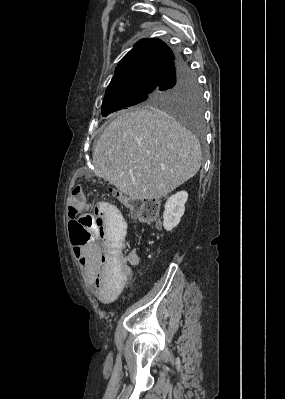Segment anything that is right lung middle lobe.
<instances>
[{"label":"right lung middle lobe","mask_w":285,"mask_h":399,"mask_svg":"<svg viewBox=\"0 0 285 399\" xmlns=\"http://www.w3.org/2000/svg\"><path fill=\"white\" fill-rule=\"evenodd\" d=\"M161 110L199 127L202 122V94L195 75L187 70L174 83L157 89H139L116 93L104 97L102 115L135 106Z\"/></svg>","instance_id":"dd1d6c3e"}]
</instances>
